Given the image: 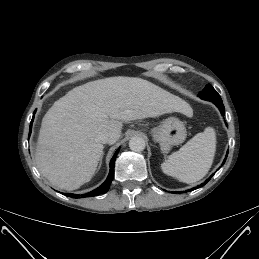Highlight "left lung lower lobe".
I'll return each mask as SVG.
<instances>
[{
	"mask_svg": "<svg viewBox=\"0 0 259 259\" xmlns=\"http://www.w3.org/2000/svg\"><path fill=\"white\" fill-rule=\"evenodd\" d=\"M213 103L216 104V106L220 109L222 115H224V105H223L222 101H214ZM227 155H228V151H227V154H226V158H227ZM226 158L224 159L223 164L225 163ZM209 180H210V178L207 179V180H206L203 184H201L200 186H204ZM198 187H199V186H198Z\"/></svg>",
	"mask_w": 259,
	"mask_h": 259,
	"instance_id": "1",
	"label": "left lung lower lobe"
}]
</instances>
